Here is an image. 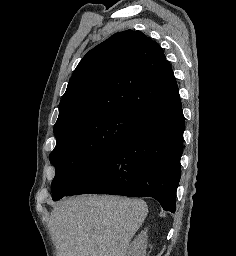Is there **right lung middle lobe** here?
I'll use <instances>...</instances> for the list:
<instances>
[{"label": "right lung middle lobe", "instance_id": "obj_1", "mask_svg": "<svg viewBox=\"0 0 236 256\" xmlns=\"http://www.w3.org/2000/svg\"><path fill=\"white\" fill-rule=\"evenodd\" d=\"M141 122L134 115L113 112L72 124L55 133L57 144L50 154L56 175L52 198L70 192Z\"/></svg>", "mask_w": 236, "mask_h": 256}]
</instances>
